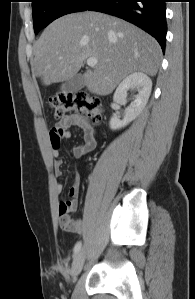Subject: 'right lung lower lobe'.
I'll use <instances>...</instances> for the list:
<instances>
[{"instance_id":"98d812e1","label":"right lung lower lobe","mask_w":195,"mask_h":299,"mask_svg":"<svg viewBox=\"0 0 195 299\" xmlns=\"http://www.w3.org/2000/svg\"><path fill=\"white\" fill-rule=\"evenodd\" d=\"M165 2L166 0H93L85 10L107 13L135 24L153 36L164 52L167 32Z\"/></svg>"}]
</instances>
